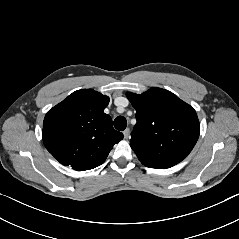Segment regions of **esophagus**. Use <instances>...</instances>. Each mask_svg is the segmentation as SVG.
<instances>
[{"label":"esophagus","instance_id":"esophagus-1","mask_svg":"<svg viewBox=\"0 0 239 239\" xmlns=\"http://www.w3.org/2000/svg\"><path fill=\"white\" fill-rule=\"evenodd\" d=\"M129 134H130L129 128H127V129H125V130L123 131V135H124V138H125V139H127V138L129 137Z\"/></svg>","mask_w":239,"mask_h":239}]
</instances>
